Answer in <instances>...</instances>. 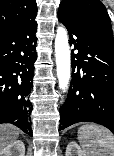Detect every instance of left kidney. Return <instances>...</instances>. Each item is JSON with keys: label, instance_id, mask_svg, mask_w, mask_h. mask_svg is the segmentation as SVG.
<instances>
[{"label": "left kidney", "instance_id": "obj_1", "mask_svg": "<svg viewBox=\"0 0 114 156\" xmlns=\"http://www.w3.org/2000/svg\"><path fill=\"white\" fill-rule=\"evenodd\" d=\"M65 156H86V154L82 151L76 142L71 141L67 145Z\"/></svg>", "mask_w": 114, "mask_h": 156}]
</instances>
